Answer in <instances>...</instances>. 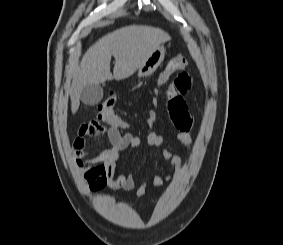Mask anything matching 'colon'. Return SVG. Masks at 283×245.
I'll return each mask as SVG.
<instances>
[{"label":"colon","instance_id":"colon-1","mask_svg":"<svg viewBox=\"0 0 283 245\" xmlns=\"http://www.w3.org/2000/svg\"><path fill=\"white\" fill-rule=\"evenodd\" d=\"M189 65V61L184 55H177L173 57L165 67V69L159 74L157 78V85L160 86L175 72L186 68ZM116 94L114 92L109 93L107 98L98 106V118L109 125L121 128L125 127V123L116 114L114 107L116 104Z\"/></svg>","mask_w":283,"mask_h":245}]
</instances>
